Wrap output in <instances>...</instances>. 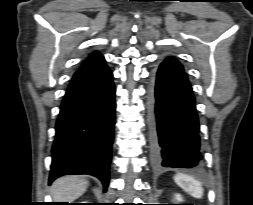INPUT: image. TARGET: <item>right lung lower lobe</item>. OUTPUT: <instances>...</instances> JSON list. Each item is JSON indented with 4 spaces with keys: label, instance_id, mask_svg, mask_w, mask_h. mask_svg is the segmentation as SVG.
Returning <instances> with one entry per match:
<instances>
[{
    "label": "right lung lower lobe",
    "instance_id": "obj_1",
    "mask_svg": "<svg viewBox=\"0 0 253 205\" xmlns=\"http://www.w3.org/2000/svg\"><path fill=\"white\" fill-rule=\"evenodd\" d=\"M112 78L104 59L74 74L56 123L50 183L66 174H89L107 190L116 108Z\"/></svg>",
    "mask_w": 253,
    "mask_h": 205
}]
</instances>
